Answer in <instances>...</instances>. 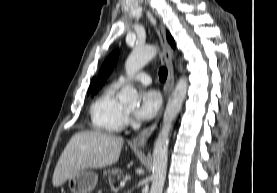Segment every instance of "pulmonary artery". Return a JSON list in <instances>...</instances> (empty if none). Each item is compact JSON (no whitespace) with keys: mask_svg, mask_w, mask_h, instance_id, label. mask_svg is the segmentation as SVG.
I'll return each mask as SVG.
<instances>
[{"mask_svg":"<svg viewBox=\"0 0 277 193\" xmlns=\"http://www.w3.org/2000/svg\"><path fill=\"white\" fill-rule=\"evenodd\" d=\"M131 80H134V81H138V82H141L142 84L144 85H149L151 83V77L149 74L145 73V72H140L136 75H134ZM129 79L126 78L125 76H120L116 81H115V84L117 86H121V85H124L126 82H128Z\"/></svg>","mask_w":277,"mask_h":193,"instance_id":"pulmonary-artery-1","label":"pulmonary artery"}]
</instances>
